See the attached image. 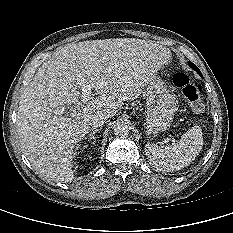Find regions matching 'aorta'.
I'll use <instances>...</instances> for the list:
<instances>
[{"label":"aorta","instance_id":"1","mask_svg":"<svg viewBox=\"0 0 233 233\" xmlns=\"http://www.w3.org/2000/svg\"><path fill=\"white\" fill-rule=\"evenodd\" d=\"M131 126L129 122L124 120H118L113 125V132L116 136L126 137L130 134Z\"/></svg>","mask_w":233,"mask_h":233}]
</instances>
